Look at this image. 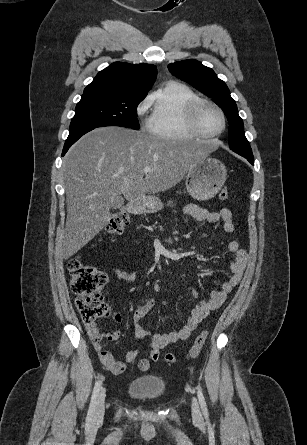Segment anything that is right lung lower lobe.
<instances>
[{"label":"right lung lower lobe","instance_id":"1","mask_svg":"<svg viewBox=\"0 0 307 445\" xmlns=\"http://www.w3.org/2000/svg\"><path fill=\"white\" fill-rule=\"evenodd\" d=\"M93 129H95V128L86 129V130H83V131L78 132L76 134L69 135L67 140H66V142H65V145H64V148H63V152H62V156L65 155V153L68 151V149L71 147V145L74 144L81 136H83L85 133H87V132H89V131H91Z\"/></svg>","mask_w":307,"mask_h":445}]
</instances>
